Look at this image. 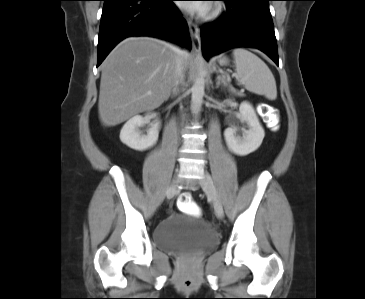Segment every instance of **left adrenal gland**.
Masks as SVG:
<instances>
[{"mask_svg":"<svg viewBox=\"0 0 365 299\" xmlns=\"http://www.w3.org/2000/svg\"><path fill=\"white\" fill-rule=\"evenodd\" d=\"M220 85H222V81H221L220 77H217V79H216V88H218ZM223 86H226V83H224Z\"/></svg>","mask_w":365,"mask_h":299,"instance_id":"a2214340","label":"left adrenal gland"}]
</instances>
